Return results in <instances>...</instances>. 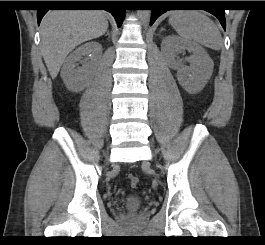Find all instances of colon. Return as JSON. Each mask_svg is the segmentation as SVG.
<instances>
[{
	"instance_id": "obj_1",
	"label": "colon",
	"mask_w": 265,
	"mask_h": 245,
	"mask_svg": "<svg viewBox=\"0 0 265 245\" xmlns=\"http://www.w3.org/2000/svg\"><path fill=\"white\" fill-rule=\"evenodd\" d=\"M129 182L131 187H136L138 182H139V178L136 175H130L129 176Z\"/></svg>"
}]
</instances>
